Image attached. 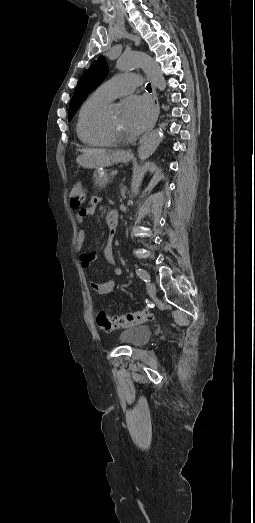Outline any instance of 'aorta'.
Segmentation results:
<instances>
[{
    "mask_svg": "<svg viewBox=\"0 0 255 523\" xmlns=\"http://www.w3.org/2000/svg\"><path fill=\"white\" fill-rule=\"evenodd\" d=\"M117 68L126 72L135 68H142L150 78L152 84L163 91L166 83L160 66L154 59L143 52H130L122 55L117 61ZM163 132L161 129H155L150 132L142 141L139 148V159L144 161L149 158L159 146Z\"/></svg>",
    "mask_w": 255,
    "mask_h": 523,
    "instance_id": "1",
    "label": "aorta"
}]
</instances>
